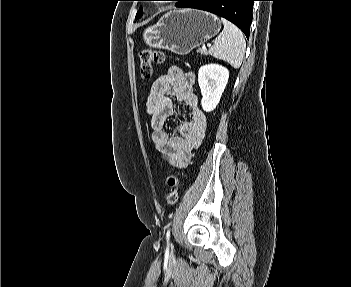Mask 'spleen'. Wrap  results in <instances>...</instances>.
I'll use <instances>...</instances> for the list:
<instances>
[{
    "label": "spleen",
    "mask_w": 351,
    "mask_h": 287,
    "mask_svg": "<svg viewBox=\"0 0 351 287\" xmlns=\"http://www.w3.org/2000/svg\"><path fill=\"white\" fill-rule=\"evenodd\" d=\"M224 28L209 49V53L215 58L228 62L235 69L242 64L246 42L244 35L238 27L226 19H221Z\"/></svg>",
    "instance_id": "spleen-1"
}]
</instances>
